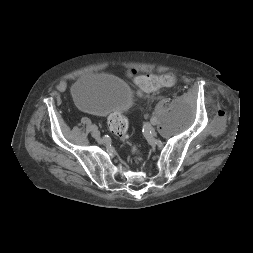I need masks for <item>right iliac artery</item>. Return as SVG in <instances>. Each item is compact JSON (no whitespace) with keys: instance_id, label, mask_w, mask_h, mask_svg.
I'll list each match as a JSON object with an SVG mask.
<instances>
[{"instance_id":"82829eb1","label":"right iliac artery","mask_w":253,"mask_h":253,"mask_svg":"<svg viewBox=\"0 0 253 253\" xmlns=\"http://www.w3.org/2000/svg\"><path fill=\"white\" fill-rule=\"evenodd\" d=\"M90 129L93 131V130L97 129V127L95 125H90Z\"/></svg>"}]
</instances>
